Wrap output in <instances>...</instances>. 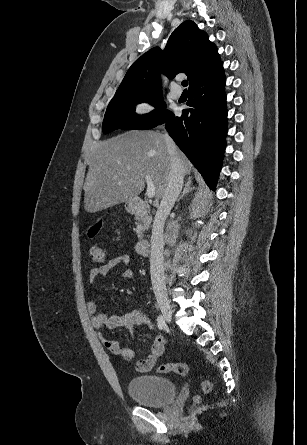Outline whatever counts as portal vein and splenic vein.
<instances>
[{"instance_id":"portal-vein-and-splenic-vein-1","label":"portal vein and splenic vein","mask_w":307,"mask_h":445,"mask_svg":"<svg viewBox=\"0 0 307 445\" xmlns=\"http://www.w3.org/2000/svg\"><path fill=\"white\" fill-rule=\"evenodd\" d=\"M145 180L147 182V190H146V194L148 196V198H152V196H154L155 192H156V188H155V184L152 180V178H150V176H145Z\"/></svg>"}]
</instances>
